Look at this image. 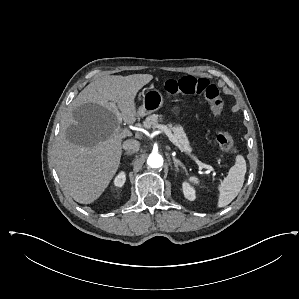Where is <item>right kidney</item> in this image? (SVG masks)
I'll list each match as a JSON object with an SVG mask.
<instances>
[{"instance_id":"right-kidney-1","label":"right kidney","mask_w":299,"mask_h":299,"mask_svg":"<svg viewBox=\"0 0 299 299\" xmlns=\"http://www.w3.org/2000/svg\"><path fill=\"white\" fill-rule=\"evenodd\" d=\"M125 180H126L125 173H124V172H120V173L116 176V178H115V180H114V185H115L116 187H122V186L124 185V183H125Z\"/></svg>"}]
</instances>
